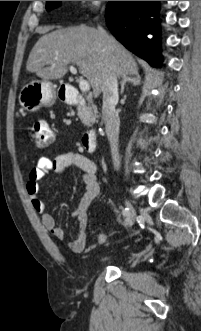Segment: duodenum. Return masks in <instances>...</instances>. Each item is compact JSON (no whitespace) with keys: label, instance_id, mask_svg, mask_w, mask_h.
Wrapping results in <instances>:
<instances>
[{"label":"duodenum","instance_id":"1","mask_svg":"<svg viewBox=\"0 0 201 331\" xmlns=\"http://www.w3.org/2000/svg\"><path fill=\"white\" fill-rule=\"evenodd\" d=\"M58 96L68 104L84 105L85 103L78 90L71 85L61 86L58 89ZM81 145L87 152H95L97 146V137L93 129H89L83 134L81 138Z\"/></svg>","mask_w":201,"mask_h":331}]
</instances>
